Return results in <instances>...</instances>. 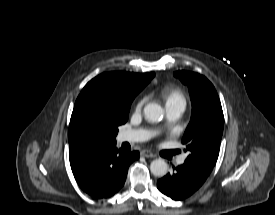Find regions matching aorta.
<instances>
[{"instance_id":"obj_1","label":"aorta","mask_w":275,"mask_h":215,"mask_svg":"<svg viewBox=\"0 0 275 215\" xmlns=\"http://www.w3.org/2000/svg\"><path fill=\"white\" fill-rule=\"evenodd\" d=\"M164 115L163 108L156 103H149L144 107V116L150 122H159ZM150 171L154 176L163 177L167 174L168 165L163 159L153 160L150 164Z\"/></svg>"}]
</instances>
